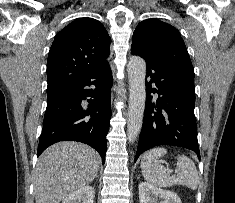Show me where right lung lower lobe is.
I'll return each mask as SVG.
<instances>
[{"label":"right lung lower lobe","mask_w":235,"mask_h":203,"mask_svg":"<svg viewBox=\"0 0 235 203\" xmlns=\"http://www.w3.org/2000/svg\"><path fill=\"white\" fill-rule=\"evenodd\" d=\"M112 82V72L106 63L47 94L37 156L56 142L70 140L93 147L104 163L111 118ZM91 85L94 88H87ZM87 97L91 98L85 105L82 101Z\"/></svg>","instance_id":"obj_1"}]
</instances>
